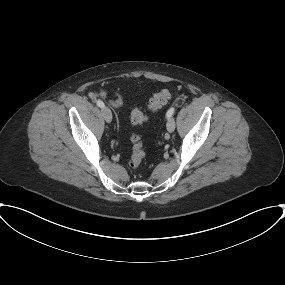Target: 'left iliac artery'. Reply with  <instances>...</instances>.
Masks as SVG:
<instances>
[{"mask_svg":"<svg viewBox=\"0 0 285 285\" xmlns=\"http://www.w3.org/2000/svg\"><path fill=\"white\" fill-rule=\"evenodd\" d=\"M174 112H175V108H174V107H171V108L167 111V114H166L167 118L172 117V115L174 114Z\"/></svg>","mask_w":285,"mask_h":285,"instance_id":"obj_1","label":"left iliac artery"}]
</instances>
